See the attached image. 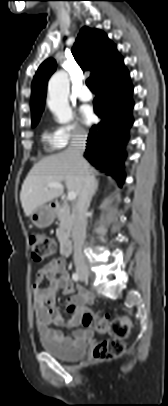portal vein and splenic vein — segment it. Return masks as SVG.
Segmentation results:
<instances>
[{
    "instance_id": "portal-vein-and-splenic-vein-1",
    "label": "portal vein and splenic vein",
    "mask_w": 168,
    "mask_h": 406,
    "mask_svg": "<svg viewBox=\"0 0 168 406\" xmlns=\"http://www.w3.org/2000/svg\"><path fill=\"white\" fill-rule=\"evenodd\" d=\"M48 188H59V189H63L64 187H63V185H62L60 182H52V183H49V184L45 187V190H47ZM76 197H77V194H76L75 192H73V191L68 192V196H67V199H68V200H74V199H76Z\"/></svg>"
}]
</instances>
